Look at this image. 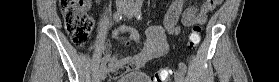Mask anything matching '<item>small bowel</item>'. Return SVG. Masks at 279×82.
I'll list each match as a JSON object with an SVG mask.
<instances>
[{"label":"small bowel","mask_w":279,"mask_h":82,"mask_svg":"<svg viewBox=\"0 0 279 82\" xmlns=\"http://www.w3.org/2000/svg\"><path fill=\"white\" fill-rule=\"evenodd\" d=\"M124 2V1H122ZM187 0H174L165 15L162 25L152 26L147 31V38L140 46V34L136 28L122 25L113 32V37L124 44H135V49L127 54L113 53L111 44H106L103 49L104 60L108 65L111 76L118 77L131 70H140L149 60L166 54L169 50L167 35L178 34L181 26L185 27L202 25L206 22L208 14L215 8L206 1L198 7H186Z\"/></svg>","instance_id":"obj_1"}]
</instances>
